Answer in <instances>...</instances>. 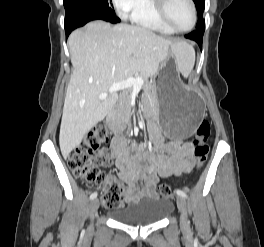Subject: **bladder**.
<instances>
[{"label": "bladder", "instance_id": "31cf9c89", "mask_svg": "<svg viewBox=\"0 0 264 247\" xmlns=\"http://www.w3.org/2000/svg\"><path fill=\"white\" fill-rule=\"evenodd\" d=\"M172 202L166 198H146L132 202L115 211V221L127 225H151L164 220L172 211Z\"/></svg>", "mask_w": 264, "mask_h": 247}]
</instances>
